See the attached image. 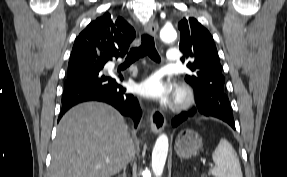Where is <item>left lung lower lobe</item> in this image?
Segmentation results:
<instances>
[{
	"instance_id": "left-lung-lower-lobe-1",
	"label": "left lung lower lobe",
	"mask_w": 287,
	"mask_h": 177,
	"mask_svg": "<svg viewBox=\"0 0 287 177\" xmlns=\"http://www.w3.org/2000/svg\"><path fill=\"white\" fill-rule=\"evenodd\" d=\"M198 111L205 116H212L219 118L227 122L233 129H235V123L231 111L228 108L229 100L225 94L214 93L211 97L209 104H200L196 102ZM195 109L190 112H183L172 121L173 126H177L189 116H193Z\"/></svg>"
}]
</instances>
